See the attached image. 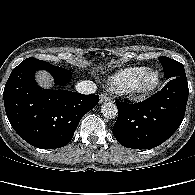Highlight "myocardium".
Segmentation results:
<instances>
[{"label": "myocardium", "instance_id": "f54148a6", "mask_svg": "<svg viewBox=\"0 0 195 195\" xmlns=\"http://www.w3.org/2000/svg\"><path fill=\"white\" fill-rule=\"evenodd\" d=\"M145 76H152L153 82L148 85L142 86L141 80ZM159 84L160 74L153 69L147 68L135 78V80L131 84L130 90L127 93L135 98H144L153 93L158 88Z\"/></svg>", "mask_w": 195, "mask_h": 195}]
</instances>
